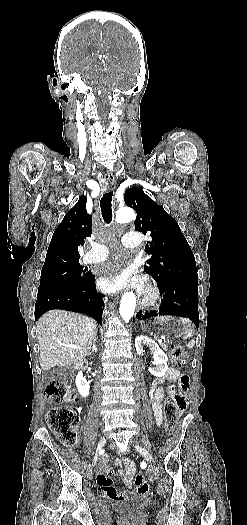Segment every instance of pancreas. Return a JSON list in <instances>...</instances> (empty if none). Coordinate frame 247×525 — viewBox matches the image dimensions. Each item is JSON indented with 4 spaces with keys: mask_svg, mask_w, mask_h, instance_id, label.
Segmentation results:
<instances>
[{
    "mask_svg": "<svg viewBox=\"0 0 247 525\" xmlns=\"http://www.w3.org/2000/svg\"><path fill=\"white\" fill-rule=\"evenodd\" d=\"M161 347H162V349H165V351H166V349H168L167 345H161Z\"/></svg>",
    "mask_w": 247,
    "mask_h": 525,
    "instance_id": "obj_1",
    "label": "pancreas"
}]
</instances>
